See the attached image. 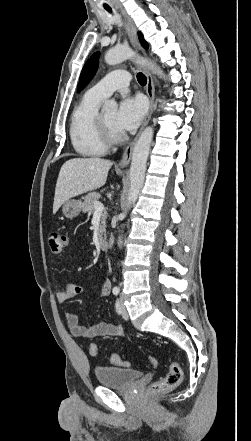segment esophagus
<instances>
[{
	"label": "esophagus",
	"mask_w": 251,
	"mask_h": 441,
	"mask_svg": "<svg viewBox=\"0 0 251 441\" xmlns=\"http://www.w3.org/2000/svg\"><path fill=\"white\" fill-rule=\"evenodd\" d=\"M122 14H123L124 19H125V23H126V26H127L128 32H129L131 43H132V45H133V47L135 48L136 51H140L141 47H140V44H139V41H138V38H137V33H136V28L134 26V23L131 20V18L124 11H122ZM143 72H144V74L146 75V78H147L146 93H147V96H148L149 101H150V107H149V111H148V113H147V115H146V117L144 119V122L142 124V127H141L139 133L134 138V140L132 142H130L126 146V148L124 149L123 156H122V158H121V160L119 162V167L120 168H125L130 163L131 158H132V153H133L134 146H135V144H136V142H137V140H138L142 130L148 124V122H149V120L151 118V115L153 113V109H154V100H155V83H154V79H153L152 74L149 72V70L146 67H143Z\"/></svg>",
	"instance_id": "obj_1"
}]
</instances>
